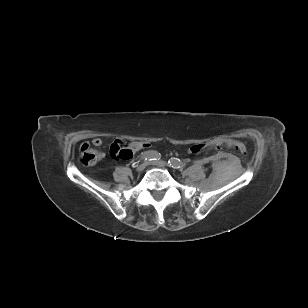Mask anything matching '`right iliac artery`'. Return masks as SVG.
Segmentation results:
<instances>
[{"instance_id":"right-iliac-artery-1","label":"right iliac artery","mask_w":308,"mask_h":308,"mask_svg":"<svg viewBox=\"0 0 308 308\" xmlns=\"http://www.w3.org/2000/svg\"><path fill=\"white\" fill-rule=\"evenodd\" d=\"M159 158H160V154L157 151H153V150L143 152L140 155V160H144V161L159 160Z\"/></svg>"}]
</instances>
